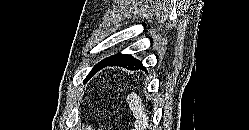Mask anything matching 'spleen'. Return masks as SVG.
I'll use <instances>...</instances> for the list:
<instances>
[{"label":"spleen","instance_id":"1","mask_svg":"<svg viewBox=\"0 0 249 130\" xmlns=\"http://www.w3.org/2000/svg\"><path fill=\"white\" fill-rule=\"evenodd\" d=\"M129 107L133 112L136 130H146L148 126L149 117L146 114L145 106L142 104V100L136 93H131L128 98Z\"/></svg>","mask_w":249,"mask_h":130}]
</instances>
